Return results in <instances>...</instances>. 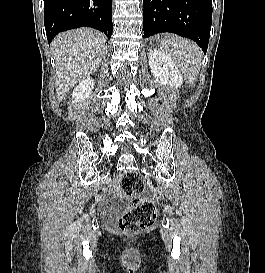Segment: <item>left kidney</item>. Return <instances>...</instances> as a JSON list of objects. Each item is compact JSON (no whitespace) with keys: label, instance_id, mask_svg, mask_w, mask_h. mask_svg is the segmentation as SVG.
<instances>
[{"label":"left kidney","instance_id":"obj_1","mask_svg":"<svg viewBox=\"0 0 265 273\" xmlns=\"http://www.w3.org/2000/svg\"><path fill=\"white\" fill-rule=\"evenodd\" d=\"M149 66L152 75L161 85L181 87L183 77L172 59L159 49L153 48L149 51Z\"/></svg>","mask_w":265,"mask_h":273}]
</instances>
